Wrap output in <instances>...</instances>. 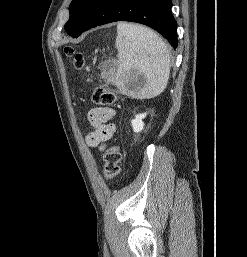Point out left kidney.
Segmentation results:
<instances>
[{"label": "left kidney", "instance_id": "5707ae66", "mask_svg": "<svg viewBox=\"0 0 247 257\" xmlns=\"http://www.w3.org/2000/svg\"><path fill=\"white\" fill-rule=\"evenodd\" d=\"M146 117V113L138 114L135 116V119L131 121L134 132H141L144 128V122L142 119Z\"/></svg>", "mask_w": 247, "mask_h": 257}]
</instances>
